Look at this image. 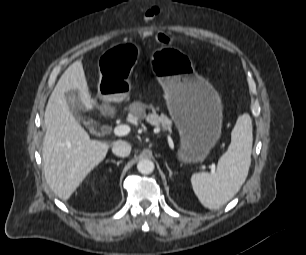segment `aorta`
Instances as JSON below:
<instances>
[{"label":"aorta","instance_id":"762f6f07","mask_svg":"<svg viewBox=\"0 0 306 255\" xmlns=\"http://www.w3.org/2000/svg\"><path fill=\"white\" fill-rule=\"evenodd\" d=\"M154 168V163L149 159H142L137 164V169L141 174H150Z\"/></svg>","mask_w":306,"mask_h":255}]
</instances>
